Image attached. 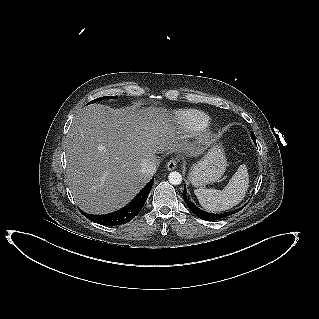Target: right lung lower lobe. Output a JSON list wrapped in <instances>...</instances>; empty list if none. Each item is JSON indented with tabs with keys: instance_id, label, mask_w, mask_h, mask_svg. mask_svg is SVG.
<instances>
[{
	"instance_id": "98d812e1",
	"label": "right lung lower lobe",
	"mask_w": 319,
	"mask_h": 319,
	"mask_svg": "<svg viewBox=\"0 0 319 319\" xmlns=\"http://www.w3.org/2000/svg\"><path fill=\"white\" fill-rule=\"evenodd\" d=\"M154 178L138 193V195L122 209L106 214V215H92L81 211V213L88 219L102 225L115 226L129 222L134 218L142 209L145 201L150 193L153 185Z\"/></svg>"
}]
</instances>
